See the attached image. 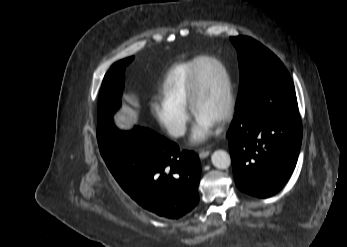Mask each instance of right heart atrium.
I'll return each mask as SVG.
<instances>
[{
  "mask_svg": "<svg viewBox=\"0 0 347 247\" xmlns=\"http://www.w3.org/2000/svg\"><path fill=\"white\" fill-rule=\"evenodd\" d=\"M152 109L157 121L169 135L175 138L184 136L190 120L187 107L161 99L153 103Z\"/></svg>",
  "mask_w": 347,
  "mask_h": 247,
  "instance_id": "obj_1",
  "label": "right heart atrium"
}]
</instances>
